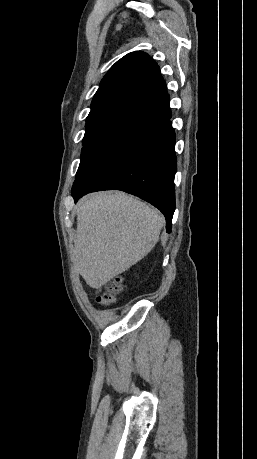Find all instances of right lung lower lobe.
I'll return each mask as SVG.
<instances>
[{
	"mask_svg": "<svg viewBox=\"0 0 257 459\" xmlns=\"http://www.w3.org/2000/svg\"><path fill=\"white\" fill-rule=\"evenodd\" d=\"M169 95L133 114L107 146L76 175L72 196L117 189L136 195L158 208L171 231L175 210V133Z\"/></svg>",
	"mask_w": 257,
	"mask_h": 459,
	"instance_id": "1",
	"label": "right lung lower lobe"
}]
</instances>
